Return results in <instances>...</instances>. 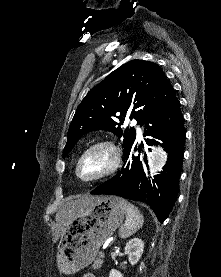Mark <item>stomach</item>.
<instances>
[{
  "label": "stomach",
  "instance_id": "stomach-1",
  "mask_svg": "<svg viewBox=\"0 0 221 277\" xmlns=\"http://www.w3.org/2000/svg\"><path fill=\"white\" fill-rule=\"evenodd\" d=\"M124 212L119 199L100 197L72 218L57 247L60 272L74 274L90 265L100 247L123 222Z\"/></svg>",
  "mask_w": 221,
  "mask_h": 277
}]
</instances>
